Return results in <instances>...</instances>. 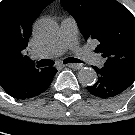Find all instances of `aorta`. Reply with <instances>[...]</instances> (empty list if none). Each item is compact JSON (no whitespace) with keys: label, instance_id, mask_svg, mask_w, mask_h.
Wrapping results in <instances>:
<instances>
[{"label":"aorta","instance_id":"762f6f07","mask_svg":"<svg viewBox=\"0 0 135 135\" xmlns=\"http://www.w3.org/2000/svg\"><path fill=\"white\" fill-rule=\"evenodd\" d=\"M34 32L40 40L52 42L58 38L59 28L54 20L45 18L35 24ZM78 79L83 85H93L97 80V74L94 69L84 67L79 71Z\"/></svg>","mask_w":135,"mask_h":135}]
</instances>
